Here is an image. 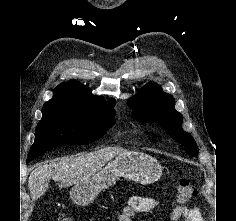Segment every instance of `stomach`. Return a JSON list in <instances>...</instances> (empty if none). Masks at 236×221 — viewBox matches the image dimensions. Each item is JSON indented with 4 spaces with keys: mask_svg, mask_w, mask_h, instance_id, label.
Returning a JSON list of instances; mask_svg holds the SVG:
<instances>
[{
    "mask_svg": "<svg viewBox=\"0 0 236 221\" xmlns=\"http://www.w3.org/2000/svg\"><path fill=\"white\" fill-rule=\"evenodd\" d=\"M161 175L162 166L155 158L139 152L121 153L91 178L74 185L70 198L74 203L84 206L91 203L100 191L109 188L118 177L141 184H151Z\"/></svg>",
    "mask_w": 236,
    "mask_h": 221,
    "instance_id": "1",
    "label": "stomach"
}]
</instances>
